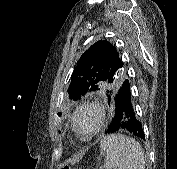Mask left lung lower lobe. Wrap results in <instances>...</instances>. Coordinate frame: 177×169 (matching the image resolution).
Masks as SVG:
<instances>
[{
    "label": "left lung lower lobe",
    "instance_id": "left-lung-lower-lobe-1",
    "mask_svg": "<svg viewBox=\"0 0 177 169\" xmlns=\"http://www.w3.org/2000/svg\"><path fill=\"white\" fill-rule=\"evenodd\" d=\"M108 103L115 105V117L105 133H113L124 129L137 137L145 139L142 123L137 119L131 102L128 80L123 81L114 95L108 97Z\"/></svg>",
    "mask_w": 177,
    "mask_h": 169
}]
</instances>
